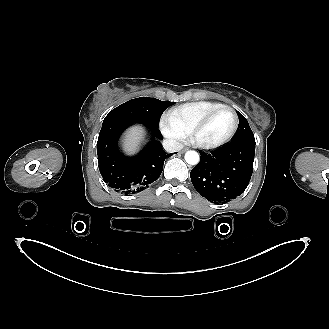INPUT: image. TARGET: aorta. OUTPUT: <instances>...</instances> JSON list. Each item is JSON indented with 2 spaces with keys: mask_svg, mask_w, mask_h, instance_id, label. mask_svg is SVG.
<instances>
[{
  "mask_svg": "<svg viewBox=\"0 0 329 329\" xmlns=\"http://www.w3.org/2000/svg\"><path fill=\"white\" fill-rule=\"evenodd\" d=\"M199 154L196 151L190 150L185 153V161L190 165H197L199 163Z\"/></svg>",
  "mask_w": 329,
  "mask_h": 329,
  "instance_id": "1",
  "label": "aorta"
}]
</instances>
